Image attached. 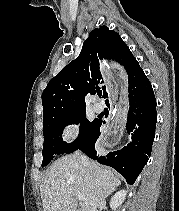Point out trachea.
<instances>
[{"label":"trachea","instance_id":"trachea-1","mask_svg":"<svg viewBox=\"0 0 179 211\" xmlns=\"http://www.w3.org/2000/svg\"><path fill=\"white\" fill-rule=\"evenodd\" d=\"M97 94H98V96H101L102 95V92H98Z\"/></svg>","mask_w":179,"mask_h":211}]
</instances>
